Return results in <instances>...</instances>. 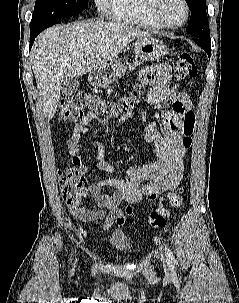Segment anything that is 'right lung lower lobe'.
<instances>
[{
  "label": "right lung lower lobe",
  "instance_id": "obj_1",
  "mask_svg": "<svg viewBox=\"0 0 239 303\" xmlns=\"http://www.w3.org/2000/svg\"><path fill=\"white\" fill-rule=\"evenodd\" d=\"M60 22H61V20H56L53 23V25L57 24V23H60ZM46 28H48V27L47 26H40V27H36V28H30V48L33 45V42H34L35 38L38 36V34Z\"/></svg>",
  "mask_w": 239,
  "mask_h": 303
}]
</instances>
